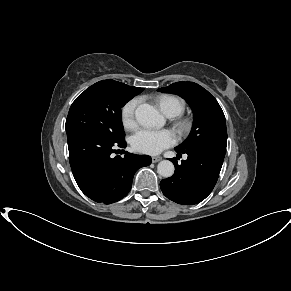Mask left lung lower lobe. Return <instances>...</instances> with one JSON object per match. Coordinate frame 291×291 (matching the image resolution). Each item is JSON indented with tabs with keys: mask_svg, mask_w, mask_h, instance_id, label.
<instances>
[{
	"mask_svg": "<svg viewBox=\"0 0 291 291\" xmlns=\"http://www.w3.org/2000/svg\"><path fill=\"white\" fill-rule=\"evenodd\" d=\"M177 153H186L187 160L178 165L175 158L174 175L163 179L160 188L170 200L183 204L193 205L204 200L213 190L223 164L226 150L223 148L193 147L188 150H178Z\"/></svg>",
	"mask_w": 291,
	"mask_h": 291,
	"instance_id": "1",
	"label": "left lung lower lobe"
}]
</instances>
